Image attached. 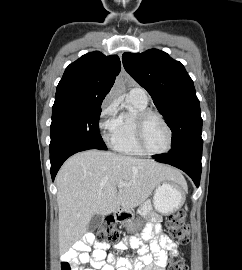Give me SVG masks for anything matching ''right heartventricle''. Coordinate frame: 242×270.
<instances>
[{
    "mask_svg": "<svg viewBox=\"0 0 242 270\" xmlns=\"http://www.w3.org/2000/svg\"><path fill=\"white\" fill-rule=\"evenodd\" d=\"M129 107L118 115L117 126L112 133L113 148L127 155H144L138 147L135 138V120L139 113L149 110L147 101H141L128 96Z\"/></svg>",
    "mask_w": 242,
    "mask_h": 270,
    "instance_id": "1",
    "label": "right heart ventricle"
}]
</instances>
